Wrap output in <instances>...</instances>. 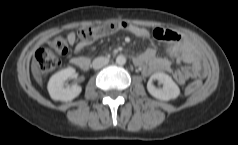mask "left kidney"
Segmentation results:
<instances>
[{
	"instance_id": "left-kidney-1",
	"label": "left kidney",
	"mask_w": 238,
	"mask_h": 145,
	"mask_svg": "<svg viewBox=\"0 0 238 145\" xmlns=\"http://www.w3.org/2000/svg\"><path fill=\"white\" fill-rule=\"evenodd\" d=\"M153 80H158L159 83L163 84V87L156 88L152 83ZM147 90L153 97L163 101L175 99L180 94L178 85L165 73L153 74L147 83Z\"/></svg>"
}]
</instances>
